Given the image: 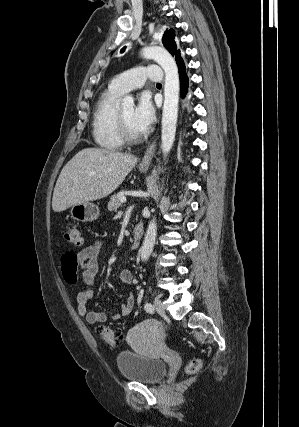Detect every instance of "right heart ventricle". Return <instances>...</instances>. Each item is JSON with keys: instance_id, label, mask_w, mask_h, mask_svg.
I'll return each instance as SVG.
<instances>
[{"instance_id": "obj_1", "label": "right heart ventricle", "mask_w": 299, "mask_h": 427, "mask_svg": "<svg viewBox=\"0 0 299 427\" xmlns=\"http://www.w3.org/2000/svg\"><path fill=\"white\" fill-rule=\"evenodd\" d=\"M122 94L112 85L108 86L101 93L93 111V139L98 147L106 151L119 150L123 146L116 118L118 100Z\"/></svg>"}]
</instances>
